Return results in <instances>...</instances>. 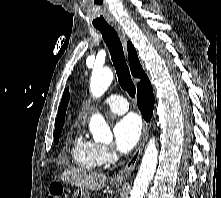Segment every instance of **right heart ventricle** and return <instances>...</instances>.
Listing matches in <instances>:
<instances>
[{"mask_svg":"<svg viewBox=\"0 0 221 198\" xmlns=\"http://www.w3.org/2000/svg\"><path fill=\"white\" fill-rule=\"evenodd\" d=\"M72 161L80 168L94 170L102 165L99 157L98 145L87 140L78 131L70 145Z\"/></svg>","mask_w":221,"mask_h":198,"instance_id":"e07e8e85","label":"right heart ventricle"}]
</instances>
